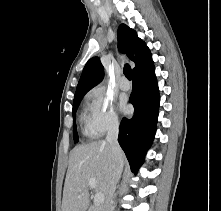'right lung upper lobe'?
<instances>
[{"label": "right lung upper lobe", "instance_id": "cb5924a9", "mask_svg": "<svg viewBox=\"0 0 221 211\" xmlns=\"http://www.w3.org/2000/svg\"><path fill=\"white\" fill-rule=\"evenodd\" d=\"M120 49L135 63L133 74L148 68L153 64L149 48L137 36V33L125 24H121L118 30ZM104 76V68L98 57H93L86 63L75 97H83L91 88L99 84Z\"/></svg>", "mask_w": 221, "mask_h": 211}]
</instances>
